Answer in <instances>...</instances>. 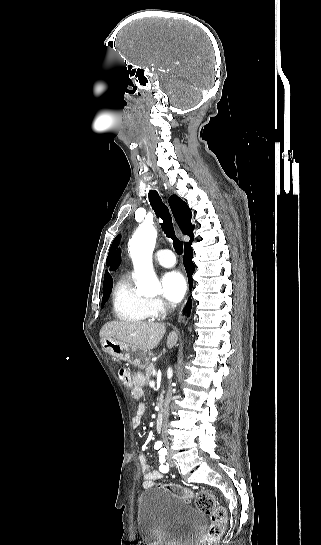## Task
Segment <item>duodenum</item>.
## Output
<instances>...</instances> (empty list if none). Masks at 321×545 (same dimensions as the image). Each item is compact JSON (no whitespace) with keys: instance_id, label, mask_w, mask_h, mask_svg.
Wrapping results in <instances>:
<instances>
[{"instance_id":"410a0bca","label":"duodenum","mask_w":321,"mask_h":545,"mask_svg":"<svg viewBox=\"0 0 321 545\" xmlns=\"http://www.w3.org/2000/svg\"><path fill=\"white\" fill-rule=\"evenodd\" d=\"M164 422V413L163 411L159 412L156 418V430L157 432H161Z\"/></svg>"}]
</instances>
